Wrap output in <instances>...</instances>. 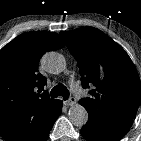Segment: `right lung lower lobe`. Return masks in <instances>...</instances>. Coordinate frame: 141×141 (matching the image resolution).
Returning a JSON list of instances; mask_svg holds the SVG:
<instances>
[{"label":"right lung lower lobe","mask_w":141,"mask_h":141,"mask_svg":"<svg viewBox=\"0 0 141 141\" xmlns=\"http://www.w3.org/2000/svg\"><path fill=\"white\" fill-rule=\"evenodd\" d=\"M61 110L62 103L59 100L50 108L34 112L23 118L2 136L5 141H46Z\"/></svg>","instance_id":"1"}]
</instances>
